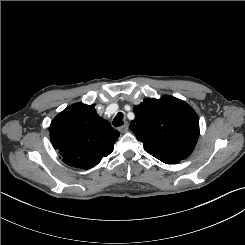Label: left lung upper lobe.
<instances>
[{
  "instance_id": "5c2ea615",
  "label": "left lung upper lobe",
  "mask_w": 245,
  "mask_h": 245,
  "mask_svg": "<svg viewBox=\"0 0 245 245\" xmlns=\"http://www.w3.org/2000/svg\"><path fill=\"white\" fill-rule=\"evenodd\" d=\"M135 119L129 128L146 152L187 158L199 137V120L184 101L164 95L146 98L134 106Z\"/></svg>"
}]
</instances>
